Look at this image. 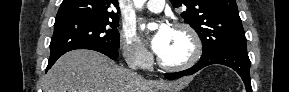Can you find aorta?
I'll list each match as a JSON object with an SVG mask.
<instances>
[{
	"label": "aorta",
	"instance_id": "obj_1",
	"mask_svg": "<svg viewBox=\"0 0 289 92\" xmlns=\"http://www.w3.org/2000/svg\"><path fill=\"white\" fill-rule=\"evenodd\" d=\"M145 3V0H134V4L137 8H141L143 4ZM150 29L156 28V24H149Z\"/></svg>",
	"mask_w": 289,
	"mask_h": 92
}]
</instances>
